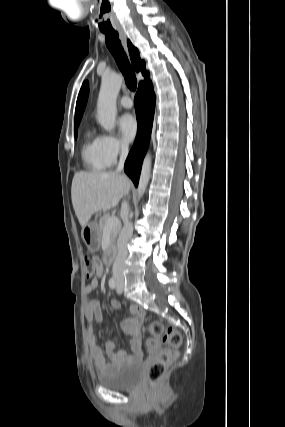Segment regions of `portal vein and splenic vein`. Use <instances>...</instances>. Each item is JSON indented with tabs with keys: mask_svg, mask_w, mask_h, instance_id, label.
Returning a JSON list of instances; mask_svg holds the SVG:
<instances>
[{
	"mask_svg": "<svg viewBox=\"0 0 285 427\" xmlns=\"http://www.w3.org/2000/svg\"><path fill=\"white\" fill-rule=\"evenodd\" d=\"M119 219L115 216H109L104 231L111 230L113 227L119 225Z\"/></svg>",
	"mask_w": 285,
	"mask_h": 427,
	"instance_id": "portal-vein-and-splenic-vein-1",
	"label": "portal vein and splenic vein"
}]
</instances>
